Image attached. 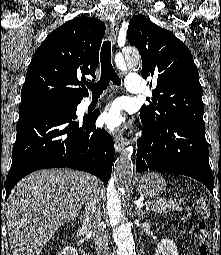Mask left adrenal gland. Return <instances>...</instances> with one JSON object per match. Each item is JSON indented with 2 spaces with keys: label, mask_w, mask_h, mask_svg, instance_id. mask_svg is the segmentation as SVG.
Here are the masks:
<instances>
[{
  "label": "left adrenal gland",
  "mask_w": 221,
  "mask_h": 255,
  "mask_svg": "<svg viewBox=\"0 0 221 255\" xmlns=\"http://www.w3.org/2000/svg\"><path fill=\"white\" fill-rule=\"evenodd\" d=\"M136 213L138 218H143L146 214H148L147 211H143L141 208H136Z\"/></svg>",
  "instance_id": "obj_1"
}]
</instances>
